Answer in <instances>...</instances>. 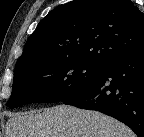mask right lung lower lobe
<instances>
[{
    "instance_id": "right-lung-lower-lobe-1",
    "label": "right lung lower lobe",
    "mask_w": 144,
    "mask_h": 137,
    "mask_svg": "<svg viewBox=\"0 0 144 137\" xmlns=\"http://www.w3.org/2000/svg\"><path fill=\"white\" fill-rule=\"evenodd\" d=\"M64 104L100 111L144 137V47L105 65L97 80Z\"/></svg>"
}]
</instances>
